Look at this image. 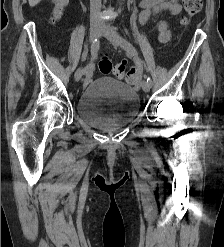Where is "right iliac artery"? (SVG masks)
I'll return each mask as SVG.
<instances>
[{"instance_id": "obj_1", "label": "right iliac artery", "mask_w": 224, "mask_h": 247, "mask_svg": "<svg viewBox=\"0 0 224 247\" xmlns=\"http://www.w3.org/2000/svg\"><path fill=\"white\" fill-rule=\"evenodd\" d=\"M99 39L96 38L91 45V60H94L97 56V51L99 49ZM93 69V61H91L83 70V74L90 75Z\"/></svg>"}]
</instances>
